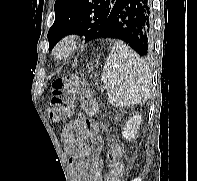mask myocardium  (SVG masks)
I'll return each mask as SVG.
<instances>
[{
	"mask_svg": "<svg viewBox=\"0 0 197 181\" xmlns=\"http://www.w3.org/2000/svg\"><path fill=\"white\" fill-rule=\"evenodd\" d=\"M80 45L81 38L78 34H66L56 44L54 57L57 60H67L79 49Z\"/></svg>",
	"mask_w": 197,
	"mask_h": 181,
	"instance_id": "myocardium-1",
	"label": "myocardium"
}]
</instances>
